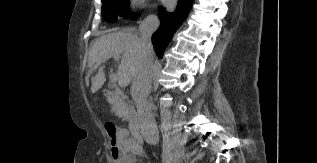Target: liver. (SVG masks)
Here are the masks:
<instances>
[{
	"instance_id": "1",
	"label": "liver",
	"mask_w": 317,
	"mask_h": 163,
	"mask_svg": "<svg viewBox=\"0 0 317 163\" xmlns=\"http://www.w3.org/2000/svg\"><path fill=\"white\" fill-rule=\"evenodd\" d=\"M111 57L121 58L118 67V84L121 87L133 82L138 68L142 63L141 37L135 29L129 28L115 31L99 37L89 53L88 65L94 69L95 65L104 63ZM105 66H101L98 73L91 78V92H97L105 82Z\"/></svg>"
}]
</instances>
